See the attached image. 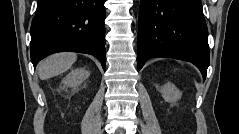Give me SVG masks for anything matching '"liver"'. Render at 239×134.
Segmentation results:
<instances>
[{
  "label": "liver",
  "mask_w": 239,
  "mask_h": 134,
  "mask_svg": "<svg viewBox=\"0 0 239 134\" xmlns=\"http://www.w3.org/2000/svg\"><path fill=\"white\" fill-rule=\"evenodd\" d=\"M77 59L75 53H58L47 57L38 66L41 80H47L69 70Z\"/></svg>",
  "instance_id": "liver-1"
}]
</instances>
